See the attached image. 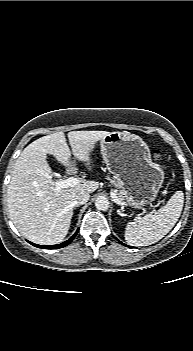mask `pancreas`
<instances>
[{
    "mask_svg": "<svg viewBox=\"0 0 193 351\" xmlns=\"http://www.w3.org/2000/svg\"><path fill=\"white\" fill-rule=\"evenodd\" d=\"M111 183L114 184L115 187L118 189L116 190V195L121 201V203L123 205L127 204V192L124 189L122 182L119 179L114 178L113 180H111Z\"/></svg>",
    "mask_w": 193,
    "mask_h": 351,
    "instance_id": "cf45deb5",
    "label": "pancreas"
}]
</instances>
